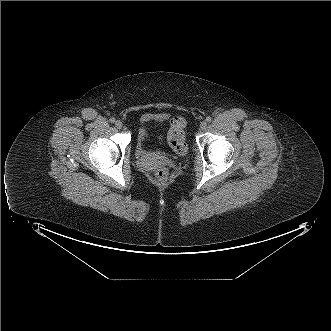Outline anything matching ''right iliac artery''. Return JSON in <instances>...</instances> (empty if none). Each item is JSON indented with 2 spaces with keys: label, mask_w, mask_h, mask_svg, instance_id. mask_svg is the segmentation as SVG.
Segmentation results:
<instances>
[{
  "label": "right iliac artery",
  "mask_w": 331,
  "mask_h": 331,
  "mask_svg": "<svg viewBox=\"0 0 331 331\" xmlns=\"http://www.w3.org/2000/svg\"><path fill=\"white\" fill-rule=\"evenodd\" d=\"M110 122L115 123V118L114 117L110 118Z\"/></svg>",
  "instance_id": "82829eb1"
}]
</instances>
